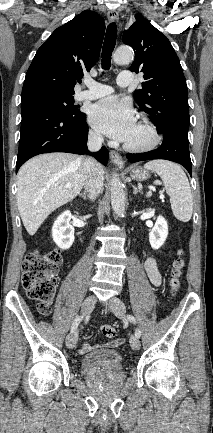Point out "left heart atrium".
I'll use <instances>...</instances> for the list:
<instances>
[{"label":"left heart atrium","instance_id":"1","mask_svg":"<svg viewBox=\"0 0 213 433\" xmlns=\"http://www.w3.org/2000/svg\"><path fill=\"white\" fill-rule=\"evenodd\" d=\"M89 121L98 131L117 141L125 142L137 122L131 105L115 97H109L95 104Z\"/></svg>","mask_w":213,"mask_h":433}]
</instances>
